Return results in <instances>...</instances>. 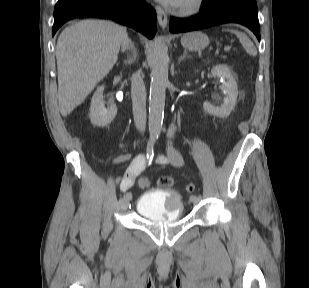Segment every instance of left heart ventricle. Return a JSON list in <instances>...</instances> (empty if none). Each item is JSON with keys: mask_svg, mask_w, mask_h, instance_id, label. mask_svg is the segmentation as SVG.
<instances>
[{"mask_svg": "<svg viewBox=\"0 0 309 288\" xmlns=\"http://www.w3.org/2000/svg\"><path fill=\"white\" fill-rule=\"evenodd\" d=\"M186 1H188V0H181V2H180V4H179V5L184 4Z\"/></svg>", "mask_w": 309, "mask_h": 288, "instance_id": "1", "label": "left heart ventricle"}]
</instances>
